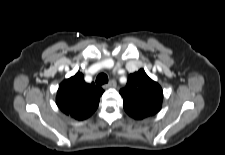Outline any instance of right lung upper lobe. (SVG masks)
I'll list each match as a JSON object with an SVG mask.
<instances>
[{"label":"right lung upper lobe","mask_w":225,"mask_h":155,"mask_svg":"<svg viewBox=\"0 0 225 155\" xmlns=\"http://www.w3.org/2000/svg\"><path fill=\"white\" fill-rule=\"evenodd\" d=\"M103 92V89L96 87L94 83H86L83 74L77 72L60 84L56 104L66 115L76 120H84L95 112Z\"/></svg>","instance_id":"cb5924a9"}]
</instances>
